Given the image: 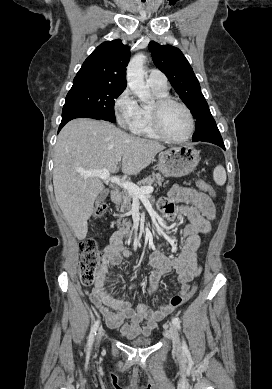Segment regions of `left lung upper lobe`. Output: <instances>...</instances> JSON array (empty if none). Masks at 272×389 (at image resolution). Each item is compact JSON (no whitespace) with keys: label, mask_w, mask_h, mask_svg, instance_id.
<instances>
[{"label":"left lung upper lobe","mask_w":272,"mask_h":389,"mask_svg":"<svg viewBox=\"0 0 272 389\" xmlns=\"http://www.w3.org/2000/svg\"><path fill=\"white\" fill-rule=\"evenodd\" d=\"M153 62L168 78L171 85L190 109L196 120L192 140L200 138L217 127L208 104L201 92L200 84L189 62L180 49L170 45L149 43Z\"/></svg>","instance_id":"1"}]
</instances>
